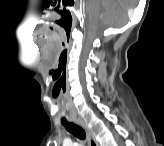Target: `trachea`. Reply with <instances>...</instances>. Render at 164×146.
<instances>
[{"label":"trachea","instance_id":"3493384b","mask_svg":"<svg viewBox=\"0 0 164 146\" xmlns=\"http://www.w3.org/2000/svg\"><path fill=\"white\" fill-rule=\"evenodd\" d=\"M63 125L65 126L66 130L69 133H72L75 137L84 140L86 137L85 131L82 127L75 123L70 122H63Z\"/></svg>","mask_w":164,"mask_h":146}]
</instances>
